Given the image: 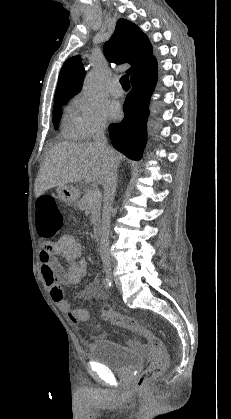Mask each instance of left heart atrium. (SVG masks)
<instances>
[{
	"label": "left heart atrium",
	"instance_id": "1",
	"mask_svg": "<svg viewBox=\"0 0 231 419\" xmlns=\"http://www.w3.org/2000/svg\"><path fill=\"white\" fill-rule=\"evenodd\" d=\"M105 111H106L107 116L111 119H117L119 118L121 114L120 107L115 102H111L107 104Z\"/></svg>",
	"mask_w": 231,
	"mask_h": 419
}]
</instances>
